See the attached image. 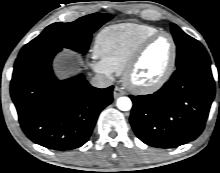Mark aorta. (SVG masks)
I'll use <instances>...</instances> for the list:
<instances>
[{"instance_id": "1", "label": "aorta", "mask_w": 220, "mask_h": 173, "mask_svg": "<svg viewBox=\"0 0 220 173\" xmlns=\"http://www.w3.org/2000/svg\"><path fill=\"white\" fill-rule=\"evenodd\" d=\"M117 107L122 111H128L132 107V102L128 97H120L117 100Z\"/></svg>"}]
</instances>
